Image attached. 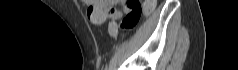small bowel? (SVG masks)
I'll list each match as a JSON object with an SVG mask.
<instances>
[{
	"label": "small bowel",
	"mask_w": 238,
	"mask_h": 70,
	"mask_svg": "<svg viewBox=\"0 0 238 70\" xmlns=\"http://www.w3.org/2000/svg\"><path fill=\"white\" fill-rule=\"evenodd\" d=\"M84 2L88 6V19L96 25L104 23L107 19L117 21L129 12L125 0H85ZM116 5H121L123 10L116 9Z\"/></svg>",
	"instance_id": "small-bowel-1"
}]
</instances>
